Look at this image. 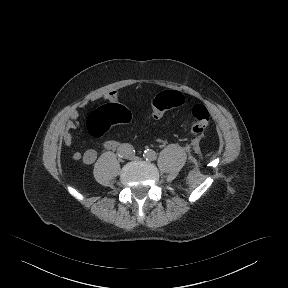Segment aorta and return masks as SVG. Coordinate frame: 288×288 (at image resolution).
I'll return each instance as SVG.
<instances>
[{
	"label": "aorta",
	"instance_id": "aorta-1",
	"mask_svg": "<svg viewBox=\"0 0 288 288\" xmlns=\"http://www.w3.org/2000/svg\"><path fill=\"white\" fill-rule=\"evenodd\" d=\"M149 153H154V151H152V150H149L146 154H145V157L147 158V159H149Z\"/></svg>",
	"mask_w": 288,
	"mask_h": 288
}]
</instances>
